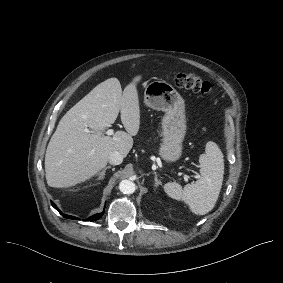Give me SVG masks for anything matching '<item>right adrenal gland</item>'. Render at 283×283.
I'll return each instance as SVG.
<instances>
[{
    "label": "right adrenal gland",
    "mask_w": 283,
    "mask_h": 283,
    "mask_svg": "<svg viewBox=\"0 0 283 283\" xmlns=\"http://www.w3.org/2000/svg\"><path fill=\"white\" fill-rule=\"evenodd\" d=\"M111 166H107L105 167L101 172L96 173V175H99V177L97 178V180H102L105 178V173L107 169H110Z\"/></svg>",
    "instance_id": "1"
}]
</instances>
